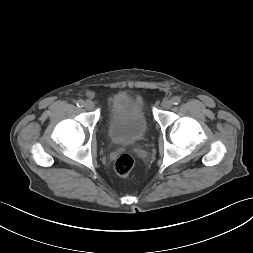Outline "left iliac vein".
<instances>
[{
    "instance_id": "left-iliac-vein-1",
    "label": "left iliac vein",
    "mask_w": 253,
    "mask_h": 253,
    "mask_svg": "<svg viewBox=\"0 0 253 253\" xmlns=\"http://www.w3.org/2000/svg\"><path fill=\"white\" fill-rule=\"evenodd\" d=\"M162 108L169 109L172 106V102L168 99H164L161 103Z\"/></svg>"
}]
</instances>
